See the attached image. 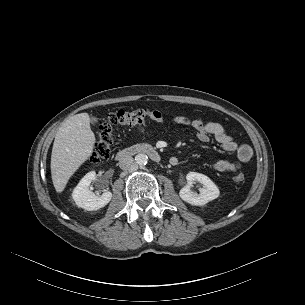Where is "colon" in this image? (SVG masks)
I'll return each instance as SVG.
<instances>
[{
	"label": "colon",
	"instance_id": "5ec220e1",
	"mask_svg": "<svg viewBox=\"0 0 305 305\" xmlns=\"http://www.w3.org/2000/svg\"><path fill=\"white\" fill-rule=\"evenodd\" d=\"M162 118V113L156 109L140 108L135 110H118L111 112L100 125L97 141L90 155L91 163L97 164L107 158L111 153L114 138V128L122 127H142L150 120ZM245 181L244 174H237L234 182L237 184Z\"/></svg>",
	"mask_w": 305,
	"mask_h": 305
}]
</instances>
